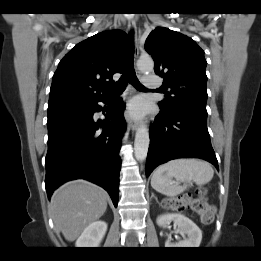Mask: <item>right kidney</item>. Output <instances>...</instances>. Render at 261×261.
<instances>
[{
  "instance_id": "1",
  "label": "right kidney",
  "mask_w": 261,
  "mask_h": 261,
  "mask_svg": "<svg viewBox=\"0 0 261 261\" xmlns=\"http://www.w3.org/2000/svg\"><path fill=\"white\" fill-rule=\"evenodd\" d=\"M107 231V223L95 221L87 226L76 241L78 248H96L101 243Z\"/></svg>"
}]
</instances>
